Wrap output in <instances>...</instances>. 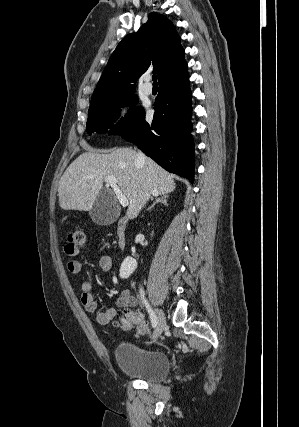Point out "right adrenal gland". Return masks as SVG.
<instances>
[{"instance_id": "right-adrenal-gland-1", "label": "right adrenal gland", "mask_w": 299, "mask_h": 427, "mask_svg": "<svg viewBox=\"0 0 299 427\" xmlns=\"http://www.w3.org/2000/svg\"><path fill=\"white\" fill-rule=\"evenodd\" d=\"M168 197H169L168 194H162L160 197L156 198L155 202H153V204L147 209V211L154 208V206L158 203H162V204L168 206V204H167Z\"/></svg>"}]
</instances>
